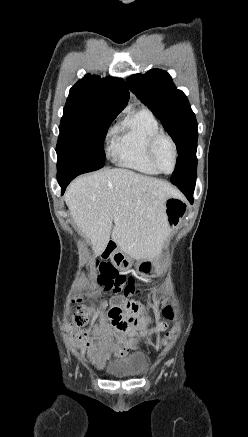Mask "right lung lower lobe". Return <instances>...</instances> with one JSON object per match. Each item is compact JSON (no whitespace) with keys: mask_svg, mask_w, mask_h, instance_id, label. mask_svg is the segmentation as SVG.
Returning <instances> with one entry per match:
<instances>
[{"mask_svg":"<svg viewBox=\"0 0 248 437\" xmlns=\"http://www.w3.org/2000/svg\"><path fill=\"white\" fill-rule=\"evenodd\" d=\"M83 171H77V170H65V171H58L57 179L59 182V185L61 186L62 194L64 193L67 185L78 175L82 174Z\"/></svg>","mask_w":248,"mask_h":437,"instance_id":"1","label":"right lung lower lobe"}]
</instances>
